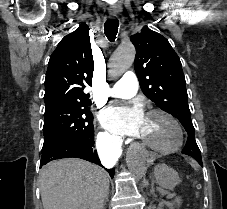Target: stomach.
<instances>
[{"label":"stomach","mask_w":227,"mask_h":209,"mask_svg":"<svg viewBox=\"0 0 227 209\" xmlns=\"http://www.w3.org/2000/svg\"><path fill=\"white\" fill-rule=\"evenodd\" d=\"M154 175L157 184L164 189L173 190L179 183L178 173L165 164L157 165L154 169ZM176 202L179 204L180 199L177 198Z\"/></svg>","instance_id":"0dacf381"}]
</instances>
